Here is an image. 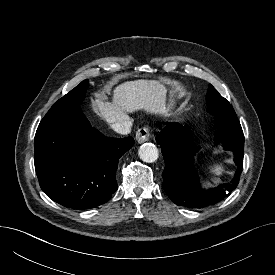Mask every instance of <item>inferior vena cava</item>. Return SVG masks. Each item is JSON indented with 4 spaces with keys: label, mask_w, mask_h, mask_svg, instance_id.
<instances>
[{
    "label": "inferior vena cava",
    "mask_w": 275,
    "mask_h": 275,
    "mask_svg": "<svg viewBox=\"0 0 275 275\" xmlns=\"http://www.w3.org/2000/svg\"><path fill=\"white\" fill-rule=\"evenodd\" d=\"M132 120L127 116L123 121L112 124V129L119 134H129L131 132Z\"/></svg>",
    "instance_id": "obj_1"
}]
</instances>
